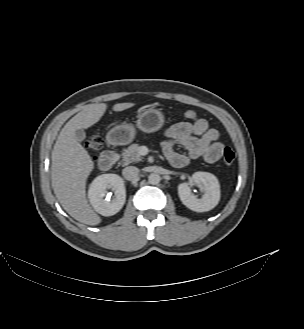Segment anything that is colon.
<instances>
[{
	"mask_svg": "<svg viewBox=\"0 0 304 329\" xmlns=\"http://www.w3.org/2000/svg\"><path fill=\"white\" fill-rule=\"evenodd\" d=\"M181 118L187 120H195L198 116L197 112L193 109H183L179 111ZM88 147L92 151H98L101 148L102 142L99 137L91 136L87 140ZM223 162L227 165L233 163L235 159V153L230 147H225L222 152Z\"/></svg>",
	"mask_w": 304,
	"mask_h": 329,
	"instance_id": "obj_1",
	"label": "colon"
}]
</instances>
